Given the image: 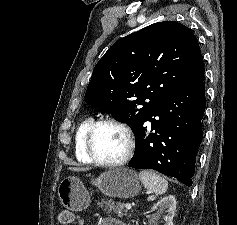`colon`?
Listing matches in <instances>:
<instances>
[{
  "mask_svg": "<svg viewBox=\"0 0 237 225\" xmlns=\"http://www.w3.org/2000/svg\"><path fill=\"white\" fill-rule=\"evenodd\" d=\"M74 221V215L70 211H62L58 215L59 225H71Z\"/></svg>",
  "mask_w": 237,
  "mask_h": 225,
  "instance_id": "1",
  "label": "colon"
}]
</instances>
